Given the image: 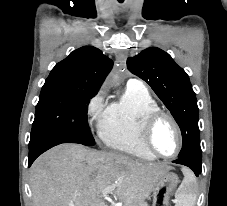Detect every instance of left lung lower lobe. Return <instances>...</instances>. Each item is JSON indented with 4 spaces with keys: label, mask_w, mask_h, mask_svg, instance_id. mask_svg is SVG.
I'll use <instances>...</instances> for the list:
<instances>
[{
    "label": "left lung lower lobe",
    "mask_w": 227,
    "mask_h": 206,
    "mask_svg": "<svg viewBox=\"0 0 227 206\" xmlns=\"http://www.w3.org/2000/svg\"><path fill=\"white\" fill-rule=\"evenodd\" d=\"M173 163L182 164L189 167L196 176L201 173L202 160L192 159L190 157H182L173 161Z\"/></svg>",
    "instance_id": "1"
}]
</instances>
